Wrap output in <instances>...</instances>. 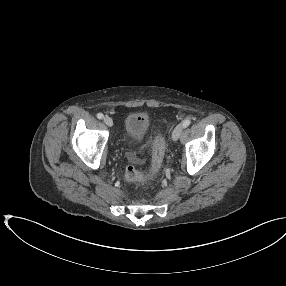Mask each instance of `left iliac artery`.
I'll return each mask as SVG.
<instances>
[{
  "label": "left iliac artery",
  "mask_w": 286,
  "mask_h": 286,
  "mask_svg": "<svg viewBox=\"0 0 286 286\" xmlns=\"http://www.w3.org/2000/svg\"><path fill=\"white\" fill-rule=\"evenodd\" d=\"M190 124H191V120H190L189 118L185 119V120L182 122L183 128L188 127Z\"/></svg>",
  "instance_id": "44dca946"
}]
</instances>
